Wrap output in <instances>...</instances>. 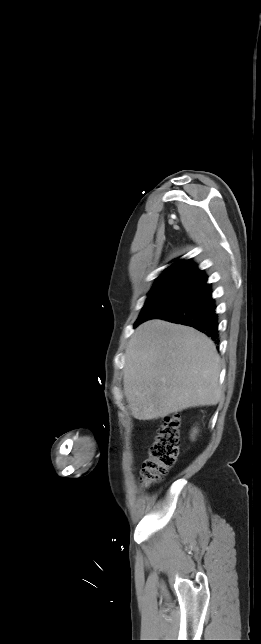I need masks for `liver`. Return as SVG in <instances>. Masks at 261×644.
Returning a JSON list of instances; mask_svg holds the SVG:
<instances>
[{"mask_svg": "<svg viewBox=\"0 0 261 644\" xmlns=\"http://www.w3.org/2000/svg\"><path fill=\"white\" fill-rule=\"evenodd\" d=\"M219 374L220 357L211 339L164 320L138 326L125 351L124 390L138 420L216 405L222 397Z\"/></svg>", "mask_w": 261, "mask_h": 644, "instance_id": "obj_1", "label": "liver"}]
</instances>
